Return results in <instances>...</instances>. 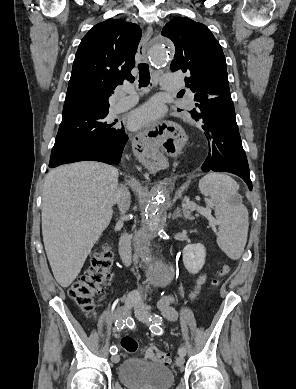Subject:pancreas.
Returning a JSON list of instances; mask_svg holds the SVG:
<instances>
[{
	"mask_svg": "<svg viewBox=\"0 0 296 389\" xmlns=\"http://www.w3.org/2000/svg\"><path fill=\"white\" fill-rule=\"evenodd\" d=\"M194 210H197L200 214H202V211L204 210V208L195 206V208L191 209L190 211H186V212L184 213L185 218H187V219H189V220H193L194 217L192 216L191 212L194 211Z\"/></svg>",
	"mask_w": 296,
	"mask_h": 389,
	"instance_id": "pancreas-1",
	"label": "pancreas"
}]
</instances>
